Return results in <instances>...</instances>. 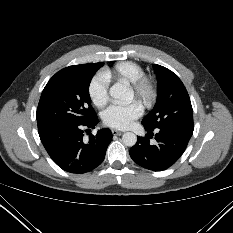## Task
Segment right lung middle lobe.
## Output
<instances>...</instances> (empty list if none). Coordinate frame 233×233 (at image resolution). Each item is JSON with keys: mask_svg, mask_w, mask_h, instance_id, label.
<instances>
[{"mask_svg": "<svg viewBox=\"0 0 233 233\" xmlns=\"http://www.w3.org/2000/svg\"><path fill=\"white\" fill-rule=\"evenodd\" d=\"M104 63L73 65L57 72L47 83L37 108L38 131L59 124H83L94 117L89 85Z\"/></svg>", "mask_w": 233, "mask_h": 233, "instance_id": "1", "label": "right lung middle lobe"}]
</instances>
